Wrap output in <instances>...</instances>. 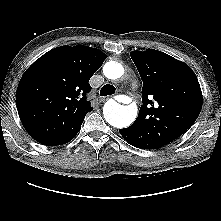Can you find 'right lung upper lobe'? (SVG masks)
Returning <instances> with one entry per match:
<instances>
[{
    "instance_id": "right-lung-upper-lobe-1",
    "label": "right lung upper lobe",
    "mask_w": 221,
    "mask_h": 221,
    "mask_svg": "<svg viewBox=\"0 0 221 221\" xmlns=\"http://www.w3.org/2000/svg\"><path fill=\"white\" fill-rule=\"evenodd\" d=\"M107 55L77 45L50 50L22 76L16 93L19 117L31 137L47 146L69 142L92 111L89 79Z\"/></svg>"
}]
</instances>
